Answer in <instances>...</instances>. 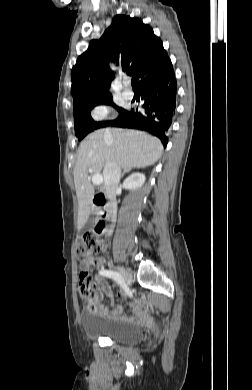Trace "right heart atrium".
<instances>
[{
  "label": "right heart atrium",
  "mask_w": 252,
  "mask_h": 390,
  "mask_svg": "<svg viewBox=\"0 0 252 390\" xmlns=\"http://www.w3.org/2000/svg\"><path fill=\"white\" fill-rule=\"evenodd\" d=\"M110 113V109L107 105H97L93 108L91 116L96 121L105 119Z\"/></svg>",
  "instance_id": "1"
}]
</instances>
